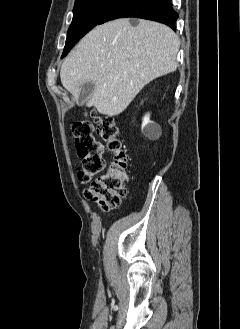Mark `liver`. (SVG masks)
I'll return each mask as SVG.
<instances>
[{
	"mask_svg": "<svg viewBox=\"0 0 240 329\" xmlns=\"http://www.w3.org/2000/svg\"><path fill=\"white\" fill-rule=\"evenodd\" d=\"M180 41L167 26L138 20L117 19L92 29L63 61L60 79L75 100L81 85L93 82L86 102L99 113H122L142 88L177 68Z\"/></svg>",
	"mask_w": 240,
	"mask_h": 329,
	"instance_id": "6515ba94",
	"label": "liver"
}]
</instances>
